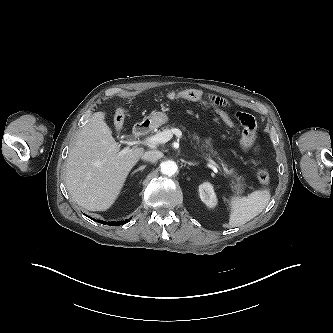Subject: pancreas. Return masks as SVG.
Returning a JSON list of instances; mask_svg holds the SVG:
<instances>
[{"label": "pancreas", "instance_id": "obj_1", "mask_svg": "<svg viewBox=\"0 0 333 333\" xmlns=\"http://www.w3.org/2000/svg\"><path fill=\"white\" fill-rule=\"evenodd\" d=\"M163 131L170 130L169 126H165L162 128ZM159 133V132H158ZM192 140L196 142L197 145L201 144V147L199 149L201 151H208L209 155L216 156L217 153L214 151L212 148V143L209 139H205L202 141L197 134H193ZM220 160V159H219ZM220 163L224 166L225 168V175L228 177H231V183L230 187L232 191L239 195L244 192L245 189V180L242 176H239L234 169H227V165L223 160H220Z\"/></svg>", "mask_w": 333, "mask_h": 333}]
</instances>
